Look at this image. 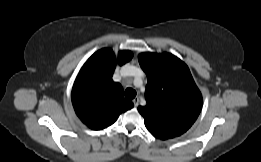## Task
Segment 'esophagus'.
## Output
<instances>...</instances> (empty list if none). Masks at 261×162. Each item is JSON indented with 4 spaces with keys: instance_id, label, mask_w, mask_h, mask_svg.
I'll use <instances>...</instances> for the list:
<instances>
[{
    "instance_id": "1",
    "label": "esophagus",
    "mask_w": 261,
    "mask_h": 162,
    "mask_svg": "<svg viewBox=\"0 0 261 162\" xmlns=\"http://www.w3.org/2000/svg\"><path fill=\"white\" fill-rule=\"evenodd\" d=\"M134 106L137 107L139 105V98L136 97L133 99Z\"/></svg>"
}]
</instances>
